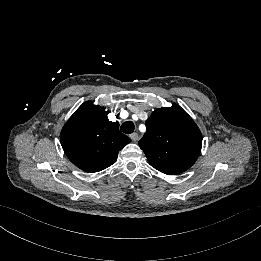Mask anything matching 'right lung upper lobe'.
I'll list each match as a JSON object with an SVG mask.
<instances>
[{
  "instance_id": "cb5924a9",
  "label": "right lung upper lobe",
  "mask_w": 261,
  "mask_h": 261,
  "mask_svg": "<svg viewBox=\"0 0 261 261\" xmlns=\"http://www.w3.org/2000/svg\"><path fill=\"white\" fill-rule=\"evenodd\" d=\"M108 112L91 101L84 102L64 125L60 139L70 161L87 172H98L112 165L118 152L131 140L122 134Z\"/></svg>"
}]
</instances>
